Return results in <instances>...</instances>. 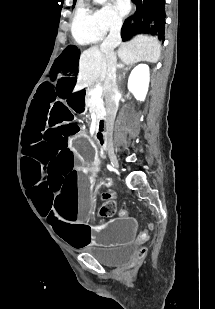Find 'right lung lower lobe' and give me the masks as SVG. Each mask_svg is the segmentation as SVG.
<instances>
[{"instance_id":"right-lung-lower-lobe-1","label":"right lung lower lobe","mask_w":215,"mask_h":309,"mask_svg":"<svg viewBox=\"0 0 215 309\" xmlns=\"http://www.w3.org/2000/svg\"><path fill=\"white\" fill-rule=\"evenodd\" d=\"M136 12L128 17L121 29L123 41L136 33L157 35L164 39L165 33V0H133Z\"/></svg>"}]
</instances>
